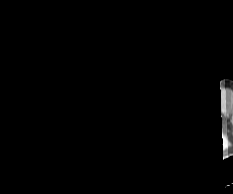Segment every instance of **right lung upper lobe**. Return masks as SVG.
Instances as JSON below:
<instances>
[{"instance_id":"cb5924a9","label":"right lung upper lobe","mask_w":233,"mask_h":194,"mask_svg":"<svg viewBox=\"0 0 233 194\" xmlns=\"http://www.w3.org/2000/svg\"><path fill=\"white\" fill-rule=\"evenodd\" d=\"M79 145H82L81 147H84L83 145H85L86 143V138H79L78 139V142H77Z\"/></svg>"}]
</instances>
